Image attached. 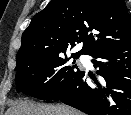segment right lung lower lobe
Segmentation results:
<instances>
[{
  "instance_id": "obj_1",
  "label": "right lung lower lobe",
  "mask_w": 131,
  "mask_h": 115,
  "mask_svg": "<svg viewBox=\"0 0 131 115\" xmlns=\"http://www.w3.org/2000/svg\"><path fill=\"white\" fill-rule=\"evenodd\" d=\"M101 79L88 84L82 73L56 99L89 115H131V44L92 55Z\"/></svg>"
}]
</instances>
